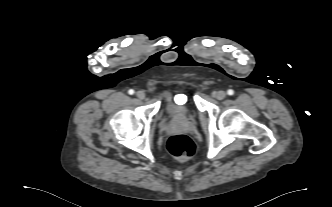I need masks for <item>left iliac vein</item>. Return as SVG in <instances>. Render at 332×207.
Wrapping results in <instances>:
<instances>
[{
	"label": "left iliac vein",
	"instance_id": "obj_1",
	"mask_svg": "<svg viewBox=\"0 0 332 207\" xmlns=\"http://www.w3.org/2000/svg\"><path fill=\"white\" fill-rule=\"evenodd\" d=\"M213 96H214L216 99H218V100H222V99H224V98L226 97V92L220 90V91L215 92V93L213 94Z\"/></svg>",
	"mask_w": 332,
	"mask_h": 207
}]
</instances>
